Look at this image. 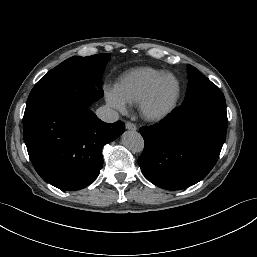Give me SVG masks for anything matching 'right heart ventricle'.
<instances>
[{"label":"right heart ventricle","mask_w":257,"mask_h":257,"mask_svg":"<svg viewBox=\"0 0 257 257\" xmlns=\"http://www.w3.org/2000/svg\"><path fill=\"white\" fill-rule=\"evenodd\" d=\"M166 72L142 67L123 74L115 85L116 93L129 104H140L152 84Z\"/></svg>","instance_id":"e07e8e85"}]
</instances>
